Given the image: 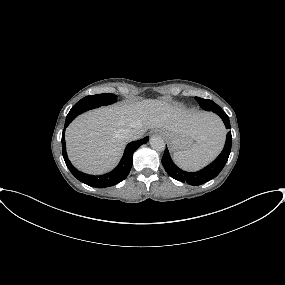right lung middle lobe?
Here are the masks:
<instances>
[{
	"mask_svg": "<svg viewBox=\"0 0 285 285\" xmlns=\"http://www.w3.org/2000/svg\"><path fill=\"white\" fill-rule=\"evenodd\" d=\"M115 101L116 95L110 93L86 96L72 107L66 117L65 122L72 121L76 116L87 110L97 108L103 105L112 104Z\"/></svg>",
	"mask_w": 285,
	"mask_h": 285,
	"instance_id": "obj_1",
	"label": "right lung middle lobe"
}]
</instances>
